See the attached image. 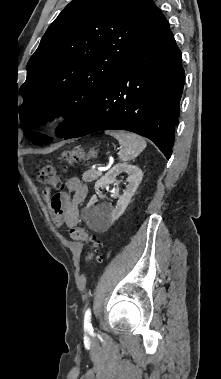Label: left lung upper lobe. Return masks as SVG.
<instances>
[{
  "label": "left lung upper lobe",
  "instance_id": "left-lung-upper-lobe-1",
  "mask_svg": "<svg viewBox=\"0 0 221 379\" xmlns=\"http://www.w3.org/2000/svg\"><path fill=\"white\" fill-rule=\"evenodd\" d=\"M162 13L152 0H73L51 23L27 65L19 115L33 144L52 141L32 129L63 113L64 137L107 82L152 33ZM64 133V134H63Z\"/></svg>",
  "mask_w": 221,
  "mask_h": 379
}]
</instances>
